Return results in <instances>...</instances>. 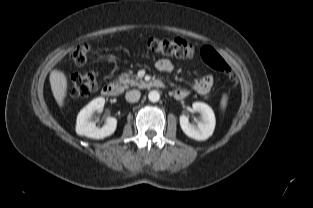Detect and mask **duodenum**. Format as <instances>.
<instances>
[{"instance_id":"duodenum-1","label":"duodenum","mask_w":313,"mask_h":208,"mask_svg":"<svg viewBox=\"0 0 313 208\" xmlns=\"http://www.w3.org/2000/svg\"><path fill=\"white\" fill-rule=\"evenodd\" d=\"M142 89L163 88L164 83L161 80H142L139 82ZM102 94L107 97H115L119 94V86L116 83H107L102 87Z\"/></svg>"}]
</instances>
